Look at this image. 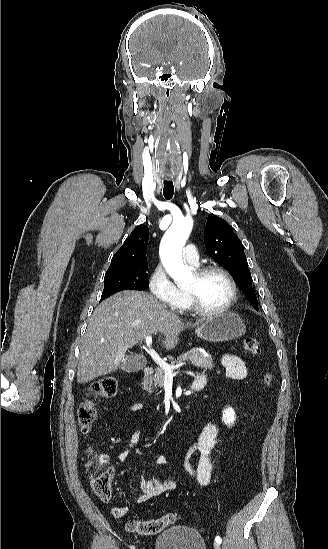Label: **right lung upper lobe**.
Here are the masks:
<instances>
[{
    "instance_id": "1",
    "label": "right lung upper lobe",
    "mask_w": 328,
    "mask_h": 549,
    "mask_svg": "<svg viewBox=\"0 0 328 549\" xmlns=\"http://www.w3.org/2000/svg\"><path fill=\"white\" fill-rule=\"evenodd\" d=\"M148 239V227L144 224L137 226L125 240L122 247L113 255L107 271L123 267L130 263L147 261L145 251Z\"/></svg>"
}]
</instances>
